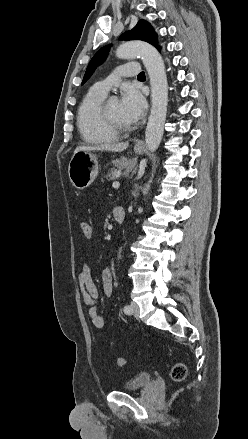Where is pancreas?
Instances as JSON below:
<instances>
[{
  "label": "pancreas",
  "instance_id": "pancreas-1",
  "mask_svg": "<svg viewBox=\"0 0 248 439\" xmlns=\"http://www.w3.org/2000/svg\"><path fill=\"white\" fill-rule=\"evenodd\" d=\"M121 175V171L117 170V169H111L110 171H108V173L106 175H104L102 177V180L104 179H110V180H115L116 178H118Z\"/></svg>",
  "mask_w": 248,
  "mask_h": 439
}]
</instances>
